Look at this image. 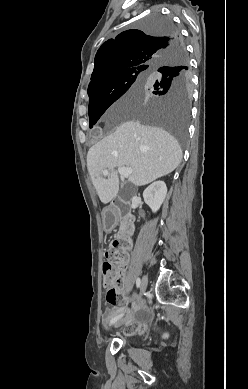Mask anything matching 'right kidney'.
Returning a JSON list of instances; mask_svg holds the SVG:
<instances>
[{"label":"right kidney","mask_w":248,"mask_h":389,"mask_svg":"<svg viewBox=\"0 0 248 389\" xmlns=\"http://www.w3.org/2000/svg\"><path fill=\"white\" fill-rule=\"evenodd\" d=\"M167 194V187L163 181H156L148 186L143 192L145 203L151 208L153 213H156Z\"/></svg>","instance_id":"right-kidney-1"}]
</instances>
